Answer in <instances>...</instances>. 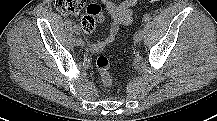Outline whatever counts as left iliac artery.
Segmentation results:
<instances>
[{
  "label": "left iliac artery",
  "mask_w": 217,
  "mask_h": 121,
  "mask_svg": "<svg viewBox=\"0 0 217 121\" xmlns=\"http://www.w3.org/2000/svg\"><path fill=\"white\" fill-rule=\"evenodd\" d=\"M150 19H151V16H150L149 14H145V15L143 16V21H144V22H149Z\"/></svg>",
  "instance_id": "obj_1"
}]
</instances>
